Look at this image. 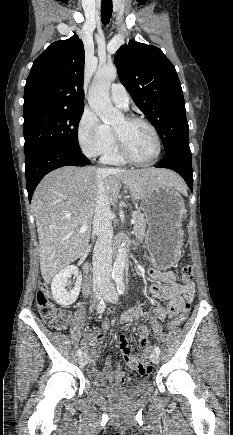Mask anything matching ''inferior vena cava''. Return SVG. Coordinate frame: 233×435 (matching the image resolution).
I'll return each instance as SVG.
<instances>
[{"mask_svg":"<svg viewBox=\"0 0 233 435\" xmlns=\"http://www.w3.org/2000/svg\"><path fill=\"white\" fill-rule=\"evenodd\" d=\"M105 171V169H101ZM97 201L93 219V233L97 241L93 251V289L106 286L110 282L112 271L113 227L109 220L110 201L105 194L101 180L97 181Z\"/></svg>","mask_w":233,"mask_h":435,"instance_id":"602c4592","label":"inferior vena cava"}]
</instances>
